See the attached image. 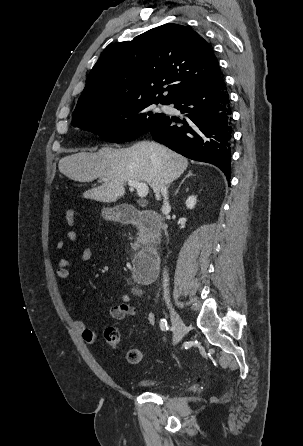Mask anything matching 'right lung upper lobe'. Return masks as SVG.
<instances>
[{"label": "right lung upper lobe", "mask_w": 303, "mask_h": 446, "mask_svg": "<svg viewBox=\"0 0 303 446\" xmlns=\"http://www.w3.org/2000/svg\"><path fill=\"white\" fill-rule=\"evenodd\" d=\"M221 77L213 50L200 34L164 24L108 46L90 71L73 115L138 100L169 104Z\"/></svg>", "instance_id": "obj_1"}]
</instances>
